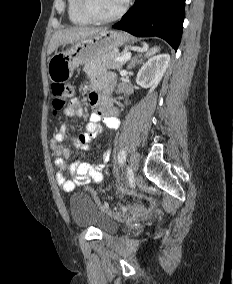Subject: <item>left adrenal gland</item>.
<instances>
[{
  "label": "left adrenal gland",
  "instance_id": "a2214340",
  "mask_svg": "<svg viewBox=\"0 0 233 284\" xmlns=\"http://www.w3.org/2000/svg\"><path fill=\"white\" fill-rule=\"evenodd\" d=\"M147 55H148V53H147ZM141 61H142L141 55H139L138 57L135 56V57H133V58L131 59V61H130V63L128 64L127 68H128V69H132L133 67H135V64H136V63H139V62H141Z\"/></svg>",
  "mask_w": 233,
  "mask_h": 284
}]
</instances>
